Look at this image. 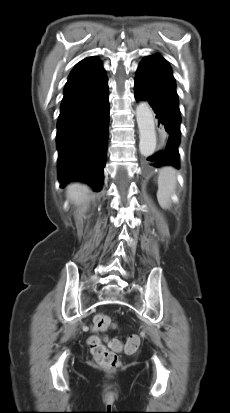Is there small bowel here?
<instances>
[{
    "mask_svg": "<svg viewBox=\"0 0 230 413\" xmlns=\"http://www.w3.org/2000/svg\"><path fill=\"white\" fill-rule=\"evenodd\" d=\"M110 344L115 348V344L118 345V342L117 341H111Z\"/></svg>",
    "mask_w": 230,
    "mask_h": 413,
    "instance_id": "1",
    "label": "small bowel"
}]
</instances>
